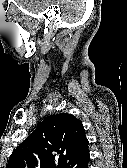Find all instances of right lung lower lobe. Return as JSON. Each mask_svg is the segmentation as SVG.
Masks as SVG:
<instances>
[{
  "mask_svg": "<svg viewBox=\"0 0 127 168\" xmlns=\"http://www.w3.org/2000/svg\"><path fill=\"white\" fill-rule=\"evenodd\" d=\"M89 157L85 159L81 164L76 166V168H88Z\"/></svg>",
  "mask_w": 127,
  "mask_h": 168,
  "instance_id": "1",
  "label": "right lung lower lobe"
}]
</instances>
